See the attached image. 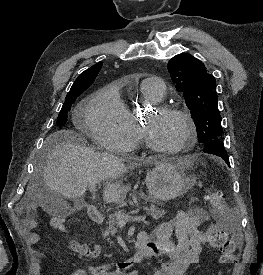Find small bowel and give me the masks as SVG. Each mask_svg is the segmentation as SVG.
<instances>
[{"instance_id":"1","label":"small bowel","mask_w":263,"mask_h":275,"mask_svg":"<svg viewBox=\"0 0 263 275\" xmlns=\"http://www.w3.org/2000/svg\"><path fill=\"white\" fill-rule=\"evenodd\" d=\"M56 220H59L61 226H64L61 219L54 218L52 219L53 227ZM209 220L210 216L204 208L180 210L173 219L161 223L155 229V240L150 239L146 233L151 256L166 258V261L154 270L153 275H184L191 265L198 263L204 243L200 227ZM26 225L29 228H34L36 222L27 219ZM172 236L175 237L176 242L172 241ZM30 238L34 243L39 240L36 233H31ZM69 247L77 255L87 258H96L102 251L100 244L89 246L77 240H71ZM70 275H138V272L136 270L125 271L118 266L104 264L89 265L86 269H77Z\"/></svg>"}]
</instances>
